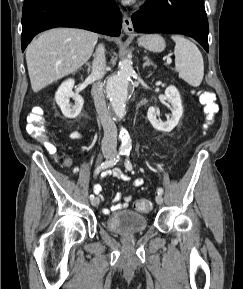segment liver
<instances>
[{
	"instance_id": "obj_1",
	"label": "liver",
	"mask_w": 243,
	"mask_h": 289,
	"mask_svg": "<svg viewBox=\"0 0 243 289\" xmlns=\"http://www.w3.org/2000/svg\"><path fill=\"white\" fill-rule=\"evenodd\" d=\"M98 41L94 32L77 28H55L42 33L26 49L32 90L77 71L91 57Z\"/></svg>"
}]
</instances>
